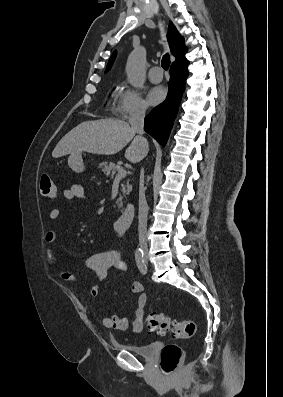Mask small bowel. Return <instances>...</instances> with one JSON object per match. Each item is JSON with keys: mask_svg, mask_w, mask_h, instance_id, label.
Returning a JSON list of instances; mask_svg holds the SVG:
<instances>
[{"mask_svg": "<svg viewBox=\"0 0 283 397\" xmlns=\"http://www.w3.org/2000/svg\"><path fill=\"white\" fill-rule=\"evenodd\" d=\"M85 196L84 187L81 184H73L67 189L63 190V197L70 201L83 198ZM61 216V210L54 208L49 212L50 220H57ZM57 234L54 230H49L44 235V241L47 244H52L56 241ZM46 259L48 263L57 268L59 277L66 282L81 283L80 279L72 272L63 270L57 266V258L52 249L46 250ZM86 266L89 270L95 273L97 282L92 284L88 289L89 296H96L99 292V283L105 280L110 270L127 271L128 266L122 260L120 254L116 250H109L102 253L91 255L86 260ZM130 290L133 294H137L136 308L134 312V319L132 321V329L135 333L141 332L143 328V316L145 306L147 303V296L144 293L142 283L135 281L131 284ZM131 321L127 316L109 315L102 319V324L105 328L115 330H125L129 327Z\"/></svg>", "mask_w": 283, "mask_h": 397, "instance_id": "obj_1", "label": "small bowel"}]
</instances>
